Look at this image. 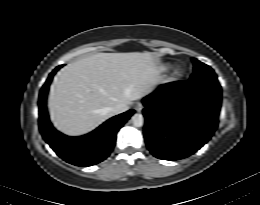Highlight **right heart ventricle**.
<instances>
[{
    "mask_svg": "<svg viewBox=\"0 0 260 205\" xmlns=\"http://www.w3.org/2000/svg\"><path fill=\"white\" fill-rule=\"evenodd\" d=\"M168 69H169V66H165V67H164V70H168Z\"/></svg>",
    "mask_w": 260,
    "mask_h": 205,
    "instance_id": "obj_1",
    "label": "right heart ventricle"
}]
</instances>
